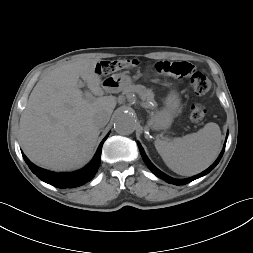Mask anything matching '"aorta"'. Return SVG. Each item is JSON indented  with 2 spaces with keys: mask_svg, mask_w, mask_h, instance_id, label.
<instances>
[{
  "mask_svg": "<svg viewBox=\"0 0 253 253\" xmlns=\"http://www.w3.org/2000/svg\"><path fill=\"white\" fill-rule=\"evenodd\" d=\"M136 118L130 111H119L115 117L114 129L122 135H129L135 130Z\"/></svg>",
  "mask_w": 253,
  "mask_h": 253,
  "instance_id": "aorta-1",
  "label": "aorta"
}]
</instances>
